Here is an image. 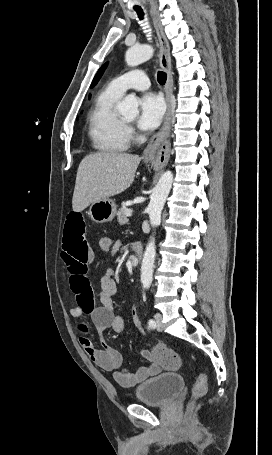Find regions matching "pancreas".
<instances>
[{
  "instance_id": "obj_1",
  "label": "pancreas",
  "mask_w": 272,
  "mask_h": 455,
  "mask_svg": "<svg viewBox=\"0 0 272 455\" xmlns=\"http://www.w3.org/2000/svg\"><path fill=\"white\" fill-rule=\"evenodd\" d=\"M127 210H128L127 208L122 207L117 212L118 222H119L120 225H124V224L128 223V221H129L127 216H126V211Z\"/></svg>"
}]
</instances>
